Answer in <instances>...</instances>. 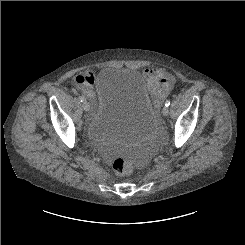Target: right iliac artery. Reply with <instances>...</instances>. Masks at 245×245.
<instances>
[{
	"label": "right iliac artery",
	"mask_w": 245,
	"mask_h": 245,
	"mask_svg": "<svg viewBox=\"0 0 245 245\" xmlns=\"http://www.w3.org/2000/svg\"><path fill=\"white\" fill-rule=\"evenodd\" d=\"M79 100H80L81 102H83V101H84V97H83V96H79Z\"/></svg>",
	"instance_id": "1"
}]
</instances>
